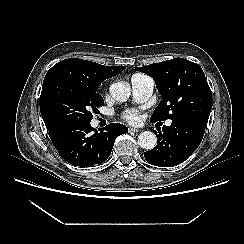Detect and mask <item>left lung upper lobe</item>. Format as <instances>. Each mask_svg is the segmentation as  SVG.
<instances>
[{
	"label": "left lung upper lobe",
	"instance_id": "obj_1",
	"mask_svg": "<svg viewBox=\"0 0 244 244\" xmlns=\"http://www.w3.org/2000/svg\"><path fill=\"white\" fill-rule=\"evenodd\" d=\"M150 75L162 101L150 118L152 123L189 118L207 124L212 108V93L202 68L184 58L136 67Z\"/></svg>",
	"mask_w": 244,
	"mask_h": 244
}]
</instances>
